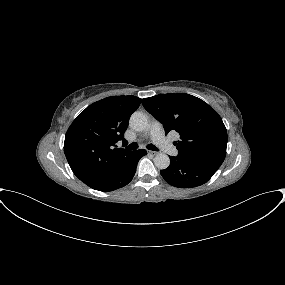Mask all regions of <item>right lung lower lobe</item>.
Masks as SVG:
<instances>
[{
    "label": "right lung lower lobe",
    "instance_id": "obj_1",
    "mask_svg": "<svg viewBox=\"0 0 285 285\" xmlns=\"http://www.w3.org/2000/svg\"><path fill=\"white\" fill-rule=\"evenodd\" d=\"M145 154H147L145 150L134 151L131 160L120 171L111 176L90 183L88 186L103 192H109L124 187L133 179L138 161Z\"/></svg>",
    "mask_w": 285,
    "mask_h": 285
}]
</instances>
